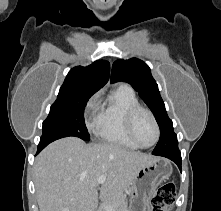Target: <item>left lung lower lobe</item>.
I'll return each mask as SVG.
<instances>
[{"mask_svg":"<svg viewBox=\"0 0 221 211\" xmlns=\"http://www.w3.org/2000/svg\"><path fill=\"white\" fill-rule=\"evenodd\" d=\"M154 155V154H153ZM158 156H163L166 157L172 161H174L179 169L181 170V154L179 150L171 151V152H165V153H160Z\"/></svg>","mask_w":221,"mask_h":211,"instance_id":"left-lung-lower-lobe-1","label":"left lung lower lobe"}]
</instances>
